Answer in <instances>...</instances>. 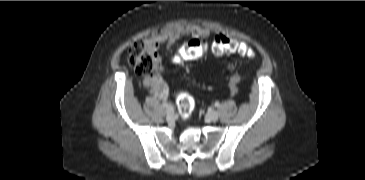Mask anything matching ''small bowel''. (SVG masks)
I'll return each mask as SVG.
<instances>
[{
    "instance_id": "obj_1",
    "label": "small bowel",
    "mask_w": 365,
    "mask_h": 180,
    "mask_svg": "<svg viewBox=\"0 0 365 180\" xmlns=\"http://www.w3.org/2000/svg\"><path fill=\"white\" fill-rule=\"evenodd\" d=\"M207 29L200 25H190L186 27L180 28H170L167 29L160 34L151 37L146 40V44L153 49L155 52L160 47L170 48L172 47L176 41L185 36H190L192 39L194 38H203L207 35ZM156 73L153 76L146 77L144 79V84L152 90V92L161 97L166 98L169 94V87L164 82L162 78V74L166 72L167 67L163 65L157 55L156 52ZM234 78H238V76H234Z\"/></svg>"
}]
</instances>
